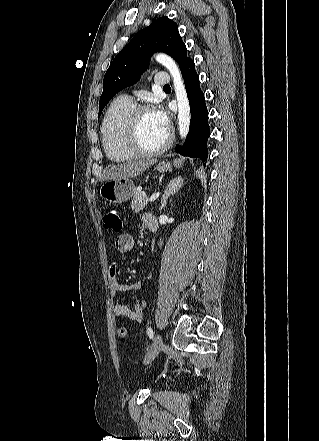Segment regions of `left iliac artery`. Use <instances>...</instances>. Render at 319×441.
I'll return each instance as SVG.
<instances>
[{
  "label": "left iliac artery",
  "mask_w": 319,
  "mask_h": 441,
  "mask_svg": "<svg viewBox=\"0 0 319 441\" xmlns=\"http://www.w3.org/2000/svg\"><path fill=\"white\" fill-rule=\"evenodd\" d=\"M147 333H148L149 338L152 339V338H153V335H154V332H153V330H152L151 327H148V328H147Z\"/></svg>",
  "instance_id": "left-iliac-artery-1"
}]
</instances>
